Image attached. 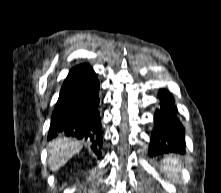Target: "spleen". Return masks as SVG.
<instances>
[{"instance_id":"spleen-1","label":"spleen","mask_w":221,"mask_h":193,"mask_svg":"<svg viewBox=\"0 0 221 193\" xmlns=\"http://www.w3.org/2000/svg\"><path fill=\"white\" fill-rule=\"evenodd\" d=\"M164 167L162 168L163 171L168 172L167 176L171 177H177V172L180 171V164L176 157H166L164 160Z\"/></svg>"}]
</instances>
